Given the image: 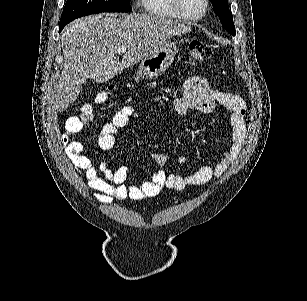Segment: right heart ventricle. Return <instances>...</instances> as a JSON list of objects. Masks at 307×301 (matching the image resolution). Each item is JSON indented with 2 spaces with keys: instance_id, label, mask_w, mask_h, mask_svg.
I'll use <instances>...</instances> for the list:
<instances>
[{
  "instance_id": "1",
  "label": "right heart ventricle",
  "mask_w": 307,
  "mask_h": 301,
  "mask_svg": "<svg viewBox=\"0 0 307 301\" xmlns=\"http://www.w3.org/2000/svg\"><path fill=\"white\" fill-rule=\"evenodd\" d=\"M145 5V12L151 17H177V10L171 9L172 0H140Z\"/></svg>"
}]
</instances>
